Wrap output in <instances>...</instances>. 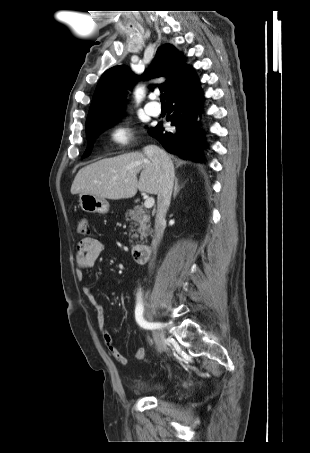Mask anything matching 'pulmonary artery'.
<instances>
[{"label":"pulmonary artery","mask_w":310,"mask_h":453,"mask_svg":"<svg viewBox=\"0 0 310 453\" xmlns=\"http://www.w3.org/2000/svg\"><path fill=\"white\" fill-rule=\"evenodd\" d=\"M145 110L148 114L152 116H158L160 114V107L152 105V103H148L145 105Z\"/></svg>","instance_id":"e3ab8cb5"}]
</instances>
